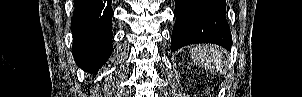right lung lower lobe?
<instances>
[{"label": "right lung lower lobe", "instance_id": "right-lung-lower-lobe-1", "mask_svg": "<svg viewBox=\"0 0 302 97\" xmlns=\"http://www.w3.org/2000/svg\"><path fill=\"white\" fill-rule=\"evenodd\" d=\"M112 0H75L71 20L76 64L93 73L112 51Z\"/></svg>", "mask_w": 302, "mask_h": 97}]
</instances>
